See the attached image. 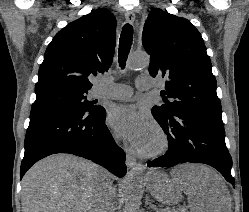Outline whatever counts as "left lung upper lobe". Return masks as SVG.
<instances>
[{
  "label": "left lung upper lobe",
  "instance_id": "5c2ea615",
  "mask_svg": "<svg viewBox=\"0 0 249 212\" xmlns=\"http://www.w3.org/2000/svg\"><path fill=\"white\" fill-rule=\"evenodd\" d=\"M142 42L150 54L149 73L166 79V90L161 91L164 104L152 111L165 118L187 110L222 112L211 60L189 20L154 8L145 22Z\"/></svg>",
  "mask_w": 249,
  "mask_h": 212
}]
</instances>
